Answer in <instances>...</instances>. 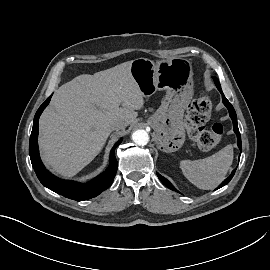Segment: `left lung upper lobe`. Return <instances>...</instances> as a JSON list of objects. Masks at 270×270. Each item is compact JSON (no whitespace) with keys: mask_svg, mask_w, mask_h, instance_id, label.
<instances>
[{"mask_svg":"<svg viewBox=\"0 0 270 270\" xmlns=\"http://www.w3.org/2000/svg\"><path fill=\"white\" fill-rule=\"evenodd\" d=\"M214 82H215V84H216L218 90H221L220 83H219V81H218V79H217L216 77H214Z\"/></svg>","mask_w":270,"mask_h":270,"instance_id":"obj_1","label":"left lung upper lobe"}]
</instances>
